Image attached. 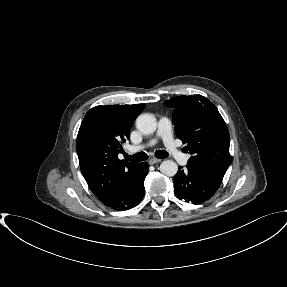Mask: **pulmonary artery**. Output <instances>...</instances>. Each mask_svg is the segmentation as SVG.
<instances>
[{"instance_id": "e3ab8cb5", "label": "pulmonary artery", "mask_w": 287, "mask_h": 287, "mask_svg": "<svg viewBox=\"0 0 287 287\" xmlns=\"http://www.w3.org/2000/svg\"><path fill=\"white\" fill-rule=\"evenodd\" d=\"M158 139H161L164 143L167 153L174 158L176 162L179 164L185 165L188 162L189 155L183 153L180 148L175 143L173 135L171 133V123L167 117L160 118L158 122V130L156 137L150 140L148 143L138 145V146H130L128 147L129 152L140 151L144 148L154 146Z\"/></svg>"}]
</instances>
